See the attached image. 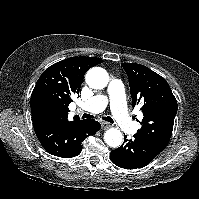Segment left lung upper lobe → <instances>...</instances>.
<instances>
[{"label": "left lung upper lobe", "mask_w": 199, "mask_h": 199, "mask_svg": "<svg viewBox=\"0 0 199 199\" xmlns=\"http://www.w3.org/2000/svg\"><path fill=\"white\" fill-rule=\"evenodd\" d=\"M122 66L129 78L133 106H142V127L136 135L165 149L178 108L175 96L167 81L146 66L136 63Z\"/></svg>", "instance_id": "1"}]
</instances>
